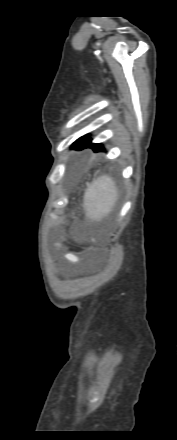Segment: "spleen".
Here are the masks:
<instances>
[{"label":"spleen","mask_w":177,"mask_h":440,"mask_svg":"<svg viewBox=\"0 0 177 440\" xmlns=\"http://www.w3.org/2000/svg\"><path fill=\"white\" fill-rule=\"evenodd\" d=\"M117 189L112 178L102 176L95 180L84 195L87 218L100 220L113 208L117 200Z\"/></svg>","instance_id":"spleen-1"}]
</instances>
